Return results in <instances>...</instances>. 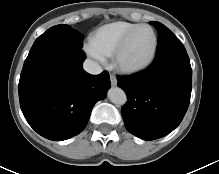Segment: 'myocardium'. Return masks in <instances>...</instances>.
<instances>
[{
	"label": "myocardium",
	"instance_id": "obj_1",
	"mask_svg": "<svg viewBox=\"0 0 219 174\" xmlns=\"http://www.w3.org/2000/svg\"><path fill=\"white\" fill-rule=\"evenodd\" d=\"M141 28H148L153 33L154 41H153L152 51H151L149 57L145 61H143V62H141L139 64H135V65L125 64L122 61V56H123V54H124V52H125V50H126V48L128 46V43H129L130 39ZM157 48H158V35H157L155 29L151 25H149V24H139L138 26H136L135 28L130 30L124 36V38L121 40L120 44L116 48V50H115V52L113 54L114 66L116 67V69L118 71H120L121 73H124V74L139 73V72L145 70L147 67H149L152 64V62L155 59L156 53H157Z\"/></svg>",
	"mask_w": 219,
	"mask_h": 174
}]
</instances>
